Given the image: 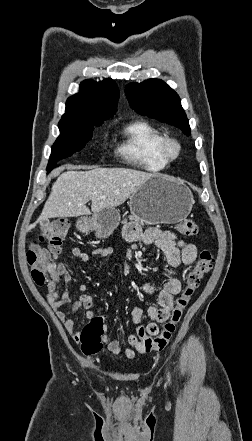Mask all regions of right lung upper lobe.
I'll return each mask as SVG.
<instances>
[{
    "mask_svg": "<svg viewBox=\"0 0 252 441\" xmlns=\"http://www.w3.org/2000/svg\"><path fill=\"white\" fill-rule=\"evenodd\" d=\"M118 98L119 90L112 79L101 82L85 80L80 85V93L67 100L62 118L104 121L116 112Z\"/></svg>",
    "mask_w": 252,
    "mask_h": 441,
    "instance_id": "obj_1",
    "label": "right lung upper lobe"
}]
</instances>
